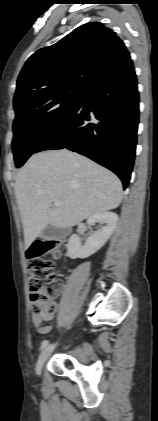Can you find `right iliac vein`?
Masks as SVG:
<instances>
[{
  "instance_id": "right-iliac-vein-1",
  "label": "right iliac vein",
  "mask_w": 158,
  "mask_h": 421,
  "mask_svg": "<svg viewBox=\"0 0 158 421\" xmlns=\"http://www.w3.org/2000/svg\"><path fill=\"white\" fill-rule=\"evenodd\" d=\"M56 344H50L47 347H45L43 349V351L40 353L38 360L36 362V373L39 375L41 374L42 368L46 362V360L48 359V357L51 355V353L53 352L54 348H55Z\"/></svg>"
}]
</instances>
